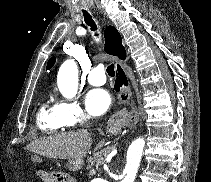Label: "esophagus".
<instances>
[{
	"mask_svg": "<svg viewBox=\"0 0 211 182\" xmlns=\"http://www.w3.org/2000/svg\"><path fill=\"white\" fill-rule=\"evenodd\" d=\"M131 97V92L130 89L128 87H122L120 93L118 94V100L120 103H128L129 99ZM138 116H136L134 118V124H136L138 122ZM108 126L112 124L111 119L108 120Z\"/></svg>",
	"mask_w": 211,
	"mask_h": 182,
	"instance_id": "obj_1",
	"label": "esophagus"
}]
</instances>
